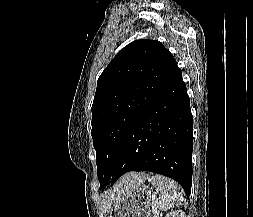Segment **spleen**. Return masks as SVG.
I'll return each instance as SVG.
<instances>
[{"instance_id":"obj_1","label":"spleen","mask_w":253,"mask_h":217,"mask_svg":"<svg viewBox=\"0 0 253 217\" xmlns=\"http://www.w3.org/2000/svg\"><path fill=\"white\" fill-rule=\"evenodd\" d=\"M148 180L159 193V198L154 202L159 210L167 211L183 201V192L175 181L161 175L151 176Z\"/></svg>"}]
</instances>
